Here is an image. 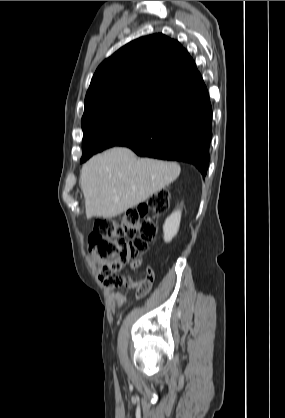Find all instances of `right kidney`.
Instances as JSON below:
<instances>
[{
  "label": "right kidney",
  "instance_id": "right-kidney-1",
  "mask_svg": "<svg viewBox=\"0 0 285 418\" xmlns=\"http://www.w3.org/2000/svg\"><path fill=\"white\" fill-rule=\"evenodd\" d=\"M181 221V211H174L167 219L163 225L164 232V241L170 242L174 236L177 235Z\"/></svg>",
  "mask_w": 285,
  "mask_h": 418
}]
</instances>
